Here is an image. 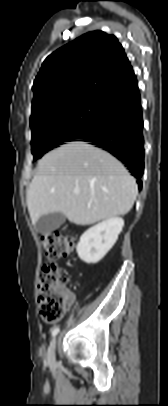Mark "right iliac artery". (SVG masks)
<instances>
[{
  "label": "right iliac artery",
  "mask_w": 168,
  "mask_h": 406,
  "mask_svg": "<svg viewBox=\"0 0 168 406\" xmlns=\"http://www.w3.org/2000/svg\"><path fill=\"white\" fill-rule=\"evenodd\" d=\"M58 332H59V328H58V327L54 328V329L52 330V336H53V337L56 336V335L58 334Z\"/></svg>",
  "instance_id": "right-iliac-artery-1"
}]
</instances>
